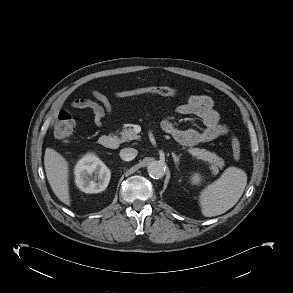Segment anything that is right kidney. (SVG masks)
<instances>
[{"label":"right kidney","instance_id":"right-kidney-1","mask_svg":"<svg viewBox=\"0 0 293 293\" xmlns=\"http://www.w3.org/2000/svg\"><path fill=\"white\" fill-rule=\"evenodd\" d=\"M75 184L85 193H100L110 181L111 173L107 166L93 153L86 154L74 169Z\"/></svg>","mask_w":293,"mask_h":293}]
</instances>
